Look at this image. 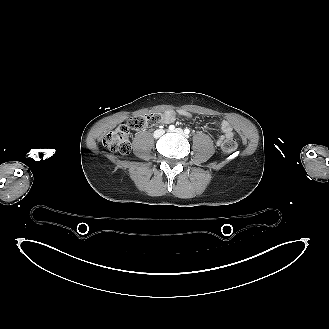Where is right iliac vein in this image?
<instances>
[{
    "label": "right iliac vein",
    "mask_w": 329,
    "mask_h": 329,
    "mask_svg": "<svg viewBox=\"0 0 329 329\" xmlns=\"http://www.w3.org/2000/svg\"><path fill=\"white\" fill-rule=\"evenodd\" d=\"M163 133H164L163 130H157V131L155 132V137H159V136H161Z\"/></svg>",
    "instance_id": "1"
}]
</instances>
